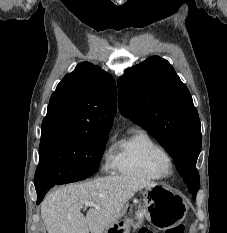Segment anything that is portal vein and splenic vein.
<instances>
[{
    "label": "portal vein and splenic vein",
    "instance_id": "obj_1",
    "mask_svg": "<svg viewBox=\"0 0 227 233\" xmlns=\"http://www.w3.org/2000/svg\"><path fill=\"white\" fill-rule=\"evenodd\" d=\"M85 206H86V207H88V206H92V207H95V208L99 209V206H98V205H96V204H95V203H93V202H86V203H85Z\"/></svg>",
    "mask_w": 227,
    "mask_h": 233
}]
</instances>
